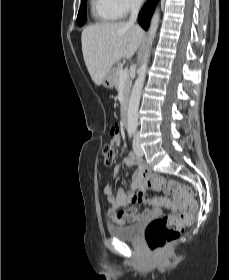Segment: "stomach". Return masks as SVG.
<instances>
[{
	"mask_svg": "<svg viewBox=\"0 0 229 280\" xmlns=\"http://www.w3.org/2000/svg\"><path fill=\"white\" fill-rule=\"evenodd\" d=\"M114 83H115V73H114V69H111L106 73L102 84L105 88L112 89L114 87Z\"/></svg>",
	"mask_w": 229,
	"mask_h": 280,
	"instance_id": "stomach-1",
	"label": "stomach"
}]
</instances>
